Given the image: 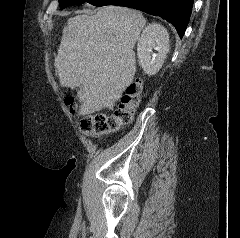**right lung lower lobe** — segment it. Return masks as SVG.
Instances as JSON below:
<instances>
[{
	"mask_svg": "<svg viewBox=\"0 0 240 238\" xmlns=\"http://www.w3.org/2000/svg\"><path fill=\"white\" fill-rule=\"evenodd\" d=\"M194 0H102L95 6H127L159 16L170 22L183 37L187 28Z\"/></svg>",
	"mask_w": 240,
	"mask_h": 238,
	"instance_id": "obj_1",
	"label": "right lung lower lobe"
}]
</instances>
